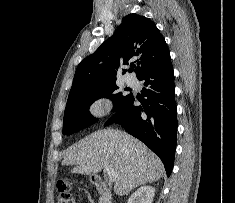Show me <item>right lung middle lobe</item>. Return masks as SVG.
Returning a JSON list of instances; mask_svg holds the SVG:
<instances>
[{"label":"right lung middle lobe","instance_id":"dd1d6c3e","mask_svg":"<svg viewBox=\"0 0 235 203\" xmlns=\"http://www.w3.org/2000/svg\"><path fill=\"white\" fill-rule=\"evenodd\" d=\"M130 96L118 92L114 81L94 84L69 94L63 120V134L70 135L94 124L95 119L89 113V106L97 99L106 97L113 101V111Z\"/></svg>","mask_w":235,"mask_h":203}]
</instances>
